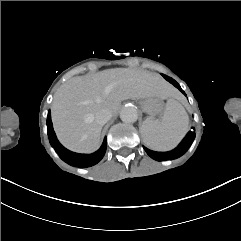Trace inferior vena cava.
Returning <instances> with one entry per match:
<instances>
[{
  "label": "inferior vena cava",
  "mask_w": 241,
  "mask_h": 241,
  "mask_svg": "<svg viewBox=\"0 0 241 241\" xmlns=\"http://www.w3.org/2000/svg\"><path fill=\"white\" fill-rule=\"evenodd\" d=\"M111 117H112V114L110 111L102 109L99 112H97L95 115L88 114L85 117V121L87 123L96 121L99 125H104L111 119Z\"/></svg>",
  "instance_id": "1"
}]
</instances>
